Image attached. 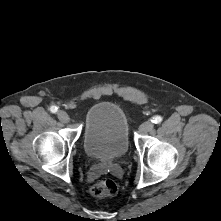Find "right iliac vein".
<instances>
[{"label": "right iliac vein", "mask_w": 221, "mask_h": 221, "mask_svg": "<svg viewBox=\"0 0 221 221\" xmlns=\"http://www.w3.org/2000/svg\"><path fill=\"white\" fill-rule=\"evenodd\" d=\"M57 116L59 120L63 123H67L70 120L69 115L63 110L58 111Z\"/></svg>", "instance_id": "1"}]
</instances>
